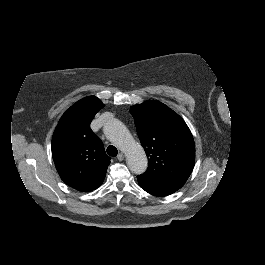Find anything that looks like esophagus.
<instances>
[{
    "instance_id": "34e87169",
    "label": "esophagus",
    "mask_w": 265,
    "mask_h": 265,
    "mask_svg": "<svg viewBox=\"0 0 265 265\" xmlns=\"http://www.w3.org/2000/svg\"><path fill=\"white\" fill-rule=\"evenodd\" d=\"M117 159L119 161H122L124 159V154L122 152H120L118 155H117Z\"/></svg>"
}]
</instances>
